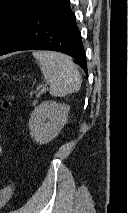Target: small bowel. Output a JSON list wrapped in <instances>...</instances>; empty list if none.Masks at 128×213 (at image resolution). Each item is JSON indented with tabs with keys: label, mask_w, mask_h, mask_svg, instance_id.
Here are the masks:
<instances>
[{
	"label": "small bowel",
	"mask_w": 128,
	"mask_h": 213,
	"mask_svg": "<svg viewBox=\"0 0 128 213\" xmlns=\"http://www.w3.org/2000/svg\"><path fill=\"white\" fill-rule=\"evenodd\" d=\"M2 154V146L0 145V155Z\"/></svg>",
	"instance_id": "obj_1"
}]
</instances>
